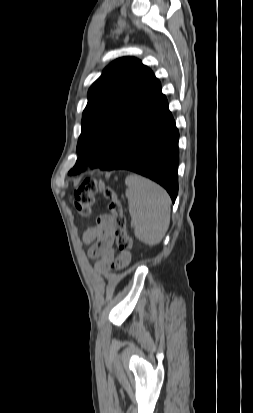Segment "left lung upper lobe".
Returning <instances> with one entry per match:
<instances>
[{
	"label": "left lung upper lobe",
	"mask_w": 253,
	"mask_h": 413,
	"mask_svg": "<svg viewBox=\"0 0 253 413\" xmlns=\"http://www.w3.org/2000/svg\"><path fill=\"white\" fill-rule=\"evenodd\" d=\"M161 87L153 72L140 60L123 57L108 65L88 91L78 139L80 158L69 174L85 170V163L103 167L116 154L120 128L137 116Z\"/></svg>",
	"instance_id": "left-lung-upper-lobe-1"
}]
</instances>
